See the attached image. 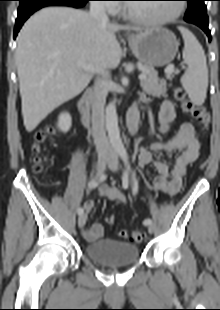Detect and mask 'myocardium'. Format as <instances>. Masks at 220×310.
Returning a JSON list of instances; mask_svg holds the SVG:
<instances>
[{
    "label": "myocardium",
    "instance_id": "myocardium-1",
    "mask_svg": "<svg viewBox=\"0 0 220 310\" xmlns=\"http://www.w3.org/2000/svg\"><path fill=\"white\" fill-rule=\"evenodd\" d=\"M183 12H184V6L181 2L177 4L176 10L172 15L161 19H149L136 15L128 9V5H124L122 9L123 15L128 19L132 20L133 22L148 26H162L169 24L177 20L182 15Z\"/></svg>",
    "mask_w": 220,
    "mask_h": 310
}]
</instances>
